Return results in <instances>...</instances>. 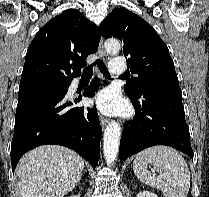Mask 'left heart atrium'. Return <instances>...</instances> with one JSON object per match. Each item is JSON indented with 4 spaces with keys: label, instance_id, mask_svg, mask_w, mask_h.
Instances as JSON below:
<instances>
[{
    "label": "left heart atrium",
    "instance_id": "obj_1",
    "mask_svg": "<svg viewBox=\"0 0 209 197\" xmlns=\"http://www.w3.org/2000/svg\"><path fill=\"white\" fill-rule=\"evenodd\" d=\"M94 103L101 112L109 115L127 111L125 102L114 88H106L100 91L95 97Z\"/></svg>",
    "mask_w": 209,
    "mask_h": 197
}]
</instances>
